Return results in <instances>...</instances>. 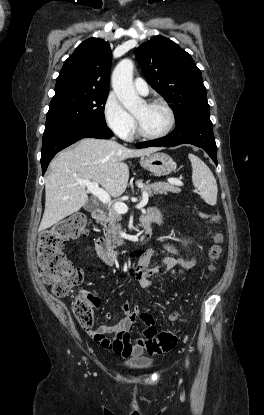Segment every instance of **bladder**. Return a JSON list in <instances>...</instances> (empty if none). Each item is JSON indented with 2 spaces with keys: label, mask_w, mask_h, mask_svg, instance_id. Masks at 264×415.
<instances>
[{
  "label": "bladder",
  "mask_w": 264,
  "mask_h": 415,
  "mask_svg": "<svg viewBox=\"0 0 264 415\" xmlns=\"http://www.w3.org/2000/svg\"><path fill=\"white\" fill-rule=\"evenodd\" d=\"M124 364L134 370H145L152 366V361L148 358L129 359Z\"/></svg>",
  "instance_id": "obj_1"
}]
</instances>
